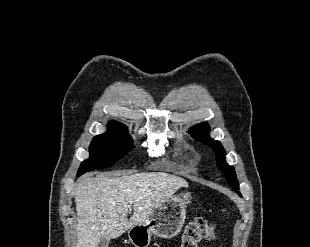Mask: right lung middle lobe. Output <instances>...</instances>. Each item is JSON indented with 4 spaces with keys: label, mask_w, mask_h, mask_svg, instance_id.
I'll return each instance as SVG.
<instances>
[{
    "label": "right lung middle lobe",
    "mask_w": 310,
    "mask_h": 247,
    "mask_svg": "<svg viewBox=\"0 0 310 247\" xmlns=\"http://www.w3.org/2000/svg\"><path fill=\"white\" fill-rule=\"evenodd\" d=\"M132 138L124 125L117 122L108 124L105 134L95 136L90 144V157L83 161L79 174L97 168H106L120 160L132 147Z\"/></svg>",
    "instance_id": "right-lung-middle-lobe-1"
}]
</instances>
